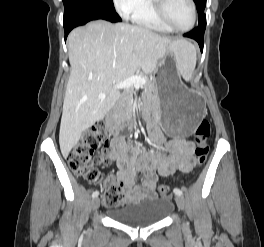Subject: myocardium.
I'll return each instance as SVG.
<instances>
[{"label":"myocardium","instance_id":"f54148a6","mask_svg":"<svg viewBox=\"0 0 264 247\" xmlns=\"http://www.w3.org/2000/svg\"><path fill=\"white\" fill-rule=\"evenodd\" d=\"M152 1V9L156 17L170 30L175 32H184L192 29L197 20V9L194 0H188L191 5L192 11V20L191 23L187 27H177L173 25L170 20L168 19L166 12H165V2L166 0H151Z\"/></svg>","mask_w":264,"mask_h":247}]
</instances>
